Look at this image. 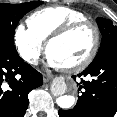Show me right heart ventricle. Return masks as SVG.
I'll list each match as a JSON object with an SVG mask.
<instances>
[{
    "label": "right heart ventricle",
    "instance_id": "obj_1",
    "mask_svg": "<svg viewBox=\"0 0 117 117\" xmlns=\"http://www.w3.org/2000/svg\"><path fill=\"white\" fill-rule=\"evenodd\" d=\"M82 20L88 18L79 10L66 6H50L33 12L26 22L29 29L44 42L65 25Z\"/></svg>",
    "mask_w": 117,
    "mask_h": 117
}]
</instances>
